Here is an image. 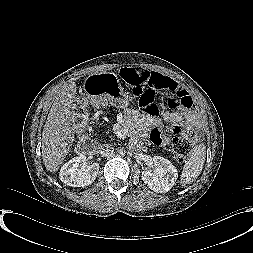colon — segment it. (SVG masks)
Wrapping results in <instances>:
<instances>
[{
  "label": "colon",
  "instance_id": "1",
  "mask_svg": "<svg viewBox=\"0 0 253 253\" xmlns=\"http://www.w3.org/2000/svg\"><path fill=\"white\" fill-rule=\"evenodd\" d=\"M122 79L125 81L130 93L139 98L142 110L150 115L159 113L157 93L164 91L169 95L171 106L187 107L191 104V97L182 91L172 87L167 80L156 73L149 72L139 67H127L121 70ZM87 109L81 103L76 109V119L79 124L87 122ZM194 143V131L187 130L174 139L172 143V154L178 163H183L191 151Z\"/></svg>",
  "mask_w": 253,
  "mask_h": 253
}]
</instances>
